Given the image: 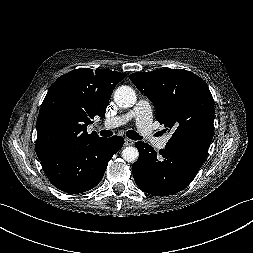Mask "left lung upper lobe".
Here are the masks:
<instances>
[{
    "instance_id": "obj_1",
    "label": "left lung upper lobe",
    "mask_w": 253,
    "mask_h": 253,
    "mask_svg": "<svg viewBox=\"0 0 253 253\" xmlns=\"http://www.w3.org/2000/svg\"><path fill=\"white\" fill-rule=\"evenodd\" d=\"M129 78L154 104L156 120L173 131L166 147L209 148L214 133V101L200 77L187 70L157 69L133 73Z\"/></svg>"
}]
</instances>
